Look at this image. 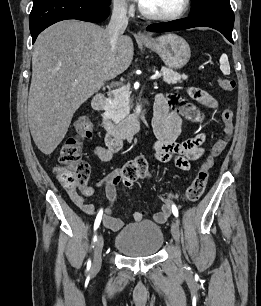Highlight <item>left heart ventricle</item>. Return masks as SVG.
<instances>
[{
  "instance_id": "1",
  "label": "left heart ventricle",
  "mask_w": 261,
  "mask_h": 306,
  "mask_svg": "<svg viewBox=\"0 0 261 306\" xmlns=\"http://www.w3.org/2000/svg\"><path fill=\"white\" fill-rule=\"evenodd\" d=\"M183 0H142L141 5L148 11L158 14H172L177 12Z\"/></svg>"
}]
</instances>
